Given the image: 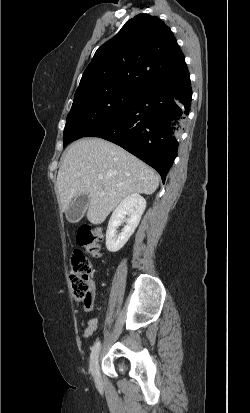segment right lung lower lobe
<instances>
[{
	"instance_id": "98d812e1",
	"label": "right lung lower lobe",
	"mask_w": 250,
	"mask_h": 413,
	"mask_svg": "<svg viewBox=\"0 0 250 413\" xmlns=\"http://www.w3.org/2000/svg\"><path fill=\"white\" fill-rule=\"evenodd\" d=\"M191 99L190 76L180 84L149 87L85 137H100L121 146L157 170L164 181L177 156Z\"/></svg>"
}]
</instances>
